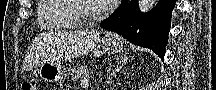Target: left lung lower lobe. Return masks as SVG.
<instances>
[{
	"label": "left lung lower lobe",
	"mask_w": 216,
	"mask_h": 90,
	"mask_svg": "<svg viewBox=\"0 0 216 90\" xmlns=\"http://www.w3.org/2000/svg\"><path fill=\"white\" fill-rule=\"evenodd\" d=\"M174 6L175 0H159L154 9L142 13L137 0H123L100 26L117 32L133 44L152 49L163 60Z\"/></svg>",
	"instance_id": "obj_1"
}]
</instances>
